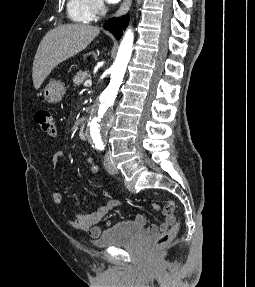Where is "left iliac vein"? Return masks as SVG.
Listing matches in <instances>:
<instances>
[{
    "label": "left iliac vein",
    "mask_w": 255,
    "mask_h": 287,
    "mask_svg": "<svg viewBox=\"0 0 255 287\" xmlns=\"http://www.w3.org/2000/svg\"><path fill=\"white\" fill-rule=\"evenodd\" d=\"M105 168L107 170L108 173L110 174H116L117 173V169L111 159L110 156V151L107 153L106 157H105V162H104Z\"/></svg>",
    "instance_id": "4c4485c4"
}]
</instances>
